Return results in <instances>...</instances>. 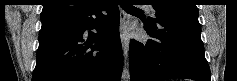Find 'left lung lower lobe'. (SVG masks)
<instances>
[{"mask_svg":"<svg viewBox=\"0 0 237 81\" xmlns=\"http://www.w3.org/2000/svg\"><path fill=\"white\" fill-rule=\"evenodd\" d=\"M145 30L154 39L130 42L131 81H211L198 21L168 18L146 23Z\"/></svg>","mask_w":237,"mask_h":81,"instance_id":"0a47b994","label":"left lung lower lobe"}]
</instances>
